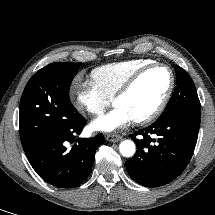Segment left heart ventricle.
<instances>
[{
	"label": "left heart ventricle",
	"mask_w": 215,
	"mask_h": 215,
	"mask_svg": "<svg viewBox=\"0 0 215 215\" xmlns=\"http://www.w3.org/2000/svg\"><path fill=\"white\" fill-rule=\"evenodd\" d=\"M170 83L167 69L159 67L146 73L126 95L114 102L125 107L134 119L152 112L162 100Z\"/></svg>",
	"instance_id": "obj_1"
}]
</instances>
